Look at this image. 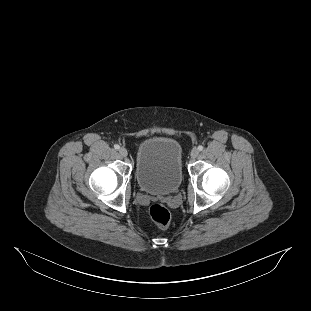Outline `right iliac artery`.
<instances>
[{"label": "right iliac artery", "mask_w": 311, "mask_h": 311, "mask_svg": "<svg viewBox=\"0 0 311 311\" xmlns=\"http://www.w3.org/2000/svg\"><path fill=\"white\" fill-rule=\"evenodd\" d=\"M114 148H115L116 150H118V149L120 148V146H119L118 144H116V145H114Z\"/></svg>", "instance_id": "obj_1"}]
</instances>
